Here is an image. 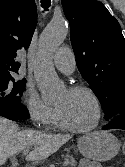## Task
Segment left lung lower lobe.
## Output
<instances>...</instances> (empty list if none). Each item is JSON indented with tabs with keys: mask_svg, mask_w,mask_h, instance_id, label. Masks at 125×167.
Returning <instances> with one entry per match:
<instances>
[{
	"mask_svg": "<svg viewBox=\"0 0 125 167\" xmlns=\"http://www.w3.org/2000/svg\"><path fill=\"white\" fill-rule=\"evenodd\" d=\"M107 129H122L125 130V114H119L108 121V124L102 128Z\"/></svg>",
	"mask_w": 125,
	"mask_h": 167,
	"instance_id": "0a47b994",
	"label": "left lung lower lobe"
}]
</instances>
